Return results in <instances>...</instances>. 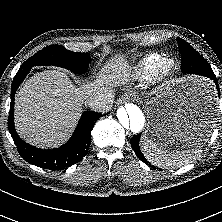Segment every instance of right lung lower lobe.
<instances>
[{
    "mask_svg": "<svg viewBox=\"0 0 222 222\" xmlns=\"http://www.w3.org/2000/svg\"><path fill=\"white\" fill-rule=\"evenodd\" d=\"M30 70V66L22 65L13 79L8 128L17 150L24 160L41 168L61 170L79 162L86 155L91 142V130L102 114L93 111L84 112L71 139L60 148L41 150L25 143L14 128V96Z\"/></svg>",
    "mask_w": 222,
    "mask_h": 222,
    "instance_id": "1",
    "label": "right lung lower lobe"
}]
</instances>
